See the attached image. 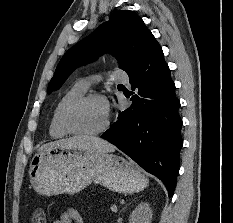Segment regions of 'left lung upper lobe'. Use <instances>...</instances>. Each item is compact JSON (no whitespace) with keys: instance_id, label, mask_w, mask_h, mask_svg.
<instances>
[{"instance_id":"left-lung-upper-lobe-1","label":"left lung upper lobe","mask_w":233,"mask_h":223,"mask_svg":"<svg viewBox=\"0 0 233 223\" xmlns=\"http://www.w3.org/2000/svg\"><path fill=\"white\" fill-rule=\"evenodd\" d=\"M155 38L143 20L131 11H118L108 22L70 48L59 62L48 86V93L61 87L81 62H90L104 52L112 53L120 68L131 73L141 62Z\"/></svg>"}]
</instances>
